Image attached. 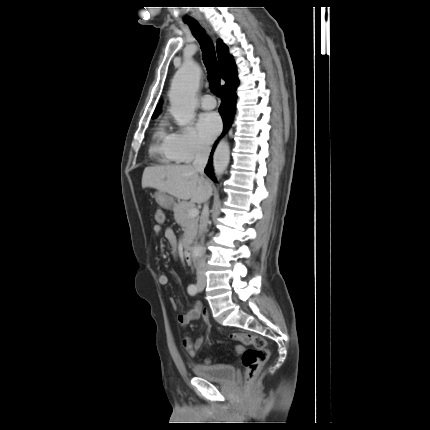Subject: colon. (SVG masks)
Wrapping results in <instances>:
<instances>
[{"mask_svg":"<svg viewBox=\"0 0 430 430\" xmlns=\"http://www.w3.org/2000/svg\"><path fill=\"white\" fill-rule=\"evenodd\" d=\"M164 219L165 216L162 210H156L155 220L158 225L162 224ZM229 337L231 340L239 341L249 346L247 349H239L236 347V351L242 354V363L245 368V384L249 387L256 380L260 369L268 360L269 351L267 342L262 336L249 332H233Z\"/></svg>","mask_w":430,"mask_h":430,"instance_id":"5ec220e1","label":"colon"}]
</instances>
